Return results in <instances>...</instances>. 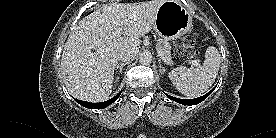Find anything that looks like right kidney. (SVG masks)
I'll return each instance as SVG.
<instances>
[{"instance_id": "right-kidney-1", "label": "right kidney", "mask_w": 276, "mask_h": 138, "mask_svg": "<svg viewBox=\"0 0 276 138\" xmlns=\"http://www.w3.org/2000/svg\"><path fill=\"white\" fill-rule=\"evenodd\" d=\"M119 81V78H116L115 82L117 83Z\"/></svg>"}]
</instances>
